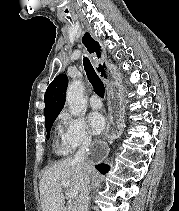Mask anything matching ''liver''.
Returning a JSON list of instances; mask_svg holds the SVG:
<instances>
[{
    "label": "liver",
    "mask_w": 179,
    "mask_h": 211,
    "mask_svg": "<svg viewBox=\"0 0 179 211\" xmlns=\"http://www.w3.org/2000/svg\"><path fill=\"white\" fill-rule=\"evenodd\" d=\"M68 157L48 168L39 183L42 211H67L63 195L62 181L70 184L71 189L82 192L86 172L90 174L92 168Z\"/></svg>",
    "instance_id": "1"
}]
</instances>
